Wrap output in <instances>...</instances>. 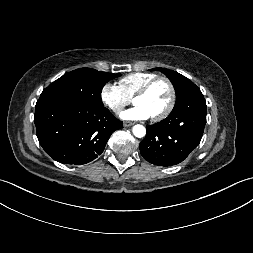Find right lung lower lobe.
I'll use <instances>...</instances> for the list:
<instances>
[{"mask_svg":"<svg viewBox=\"0 0 253 253\" xmlns=\"http://www.w3.org/2000/svg\"><path fill=\"white\" fill-rule=\"evenodd\" d=\"M34 122L40 145L54 160L81 165L104 150L111 134L123 127L104 106L40 97Z\"/></svg>","mask_w":253,"mask_h":253,"instance_id":"1","label":"right lung lower lobe"}]
</instances>
